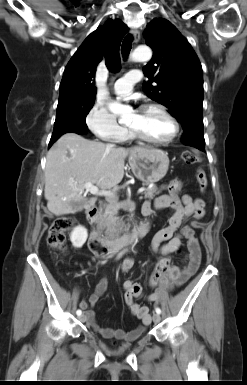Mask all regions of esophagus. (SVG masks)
<instances>
[{"instance_id": "1", "label": "esophagus", "mask_w": 247, "mask_h": 385, "mask_svg": "<svg viewBox=\"0 0 247 385\" xmlns=\"http://www.w3.org/2000/svg\"><path fill=\"white\" fill-rule=\"evenodd\" d=\"M131 33L134 37V42L137 43L140 39V31L136 28L131 29Z\"/></svg>"}]
</instances>
